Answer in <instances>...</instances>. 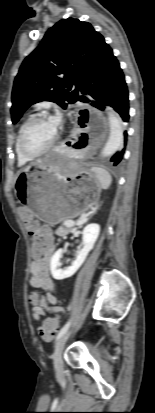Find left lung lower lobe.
<instances>
[{
    "mask_svg": "<svg viewBox=\"0 0 155 413\" xmlns=\"http://www.w3.org/2000/svg\"><path fill=\"white\" fill-rule=\"evenodd\" d=\"M81 91L86 97H80L82 102L90 103L98 109H104V105L112 106L127 122L129 119L128 90L124 74L119 62L113 55L112 49L107 45L100 58L89 71L81 84ZM124 141L127 142V132H124ZM125 148L113 155L110 161L118 165L123 159Z\"/></svg>",
    "mask_w": 155,
    "mask_h": 413,
    "instance_id": "0a47b994",
    "label": "left lung lower lobe"
}]
</instances>
